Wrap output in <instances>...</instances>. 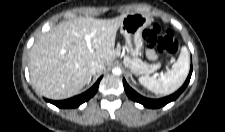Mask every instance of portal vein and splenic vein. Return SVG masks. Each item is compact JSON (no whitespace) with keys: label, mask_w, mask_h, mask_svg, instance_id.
Instances as JSON below:
<instances>
[{"label":"portal vein and splenic vein","mask_w":225,"mask_h":132,"mask_svg":"<svg viewBox=\"0 0 225 132\" xmlns=\"http://www.w3.org/2000/svg\"><path fill=\"white\" fill-rule=\"evenodd\" d=\"M93 35H94V33L85 36V40H86V44H87L88 49H91V47H92L91 37ZM158 68H160V65H157V64L153 65L151 72H153L154 70H156Z\"/></svg>","instance_id":"obj_1"}]
</instances>
